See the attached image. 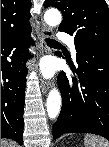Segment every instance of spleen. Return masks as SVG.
I'll return each mask as SVG.
<instances>
[{"label": "spleen", "mask_w": 109, "mask_h": 147, "mask_svg": "<svg viewBox=\"0 0 109 147\" xmlns=\"http://www.w3.org/2000/svg\"><path fill=\"white\" fill-rule=\"evenodd\" d=\"M85 147H109V142L101 137L93 134H86L84 137Z\"/></svg>", "instance_id": "3e777b00"}]
</instances>
